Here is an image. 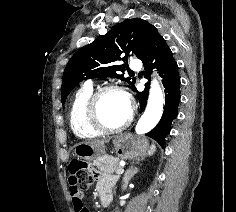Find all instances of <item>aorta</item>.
<instances>
[{"instance_id":"1","label":"aorta","mask_w":236,"mask_h":212,"mask_svg":"<svg viewBox=\"0 0 236 212\" xmlns=\"http://www.w3.org/2000/svg\"><path fill=\"white\" fill-rule=\"evenodd\" d=\"M163 107V92L158 81L154 79L151 82L147 107L136 125V133L144 134L152 130L161 119Z\"/></svg>"}]
</instances>
